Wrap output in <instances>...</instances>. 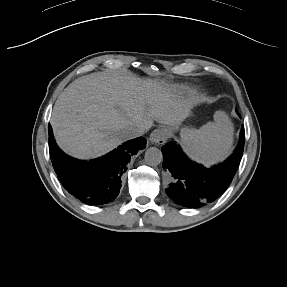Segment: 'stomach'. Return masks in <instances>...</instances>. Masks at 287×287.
<instances>
[{
	"mask_svg": "<svg viewBox=\"0 0 287 287\" xmlns=\"http://www.w3.org/2000/svg\"><path fill=\"white\" fill-rule=\"evenodd\" d=\"M178 127H179V125H176V126H170V127L168 128V130H169V132H170V133H173L175 130H177V129H178Z\"/></svg>",
	"mask_w": 287,
	"mask_h": 287,
	"instance_id": "obj_1",
	"label": "stomach"
}]
</instances>
